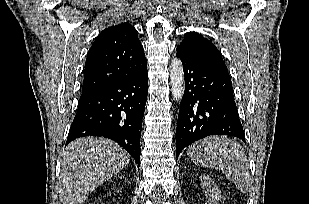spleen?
Returning a JSON list of instances; mask_svg holds the SVG:
<instances>
[{
    "mask_svg": "<svg viewBox=\"0 0 309 204\" xmlns=\"http://www.w3.org/2000/svg\"><path fill=\"white\" fill-rule=\"evenodd\" d=\"M187 155L198 166L222 171L242 193L250 191L249 163L237 141L225 136L207 137L190 145Z\"/></svg>",
    "mask_w": 309,
    "mask_h": 204,
    "instance_id": "obj_1",
    "label": "spleen"
}]
</instances>
